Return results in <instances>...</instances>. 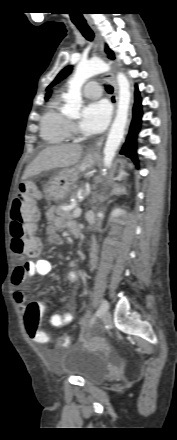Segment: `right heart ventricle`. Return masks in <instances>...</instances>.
<instances>
[{
  "mask_svg": "<svg viewBox=\"0 0 177 440\" xmlns=\"http://www.w3.org/2000/svg\"><path fill=\"white\" fill-rule=\"evenodd\" d=\"M40 135L47 144L65 143L70 136V124L61 111L60 99L53 98L40 120Z\"/></svg>",
  "mask_w": 177,
  "mask_h": 440,
  "instance_id": "obj_1",
  "label": "right heart ventricle"
}]
</instances>
